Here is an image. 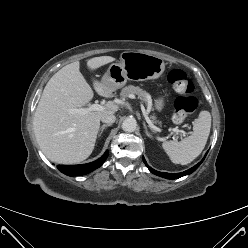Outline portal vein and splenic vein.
Masks as SVG:
<instances>
[{
	"instance_id": "portal-vein-and-splenic-vein-1",
	"label": "portal vein and splenic vein",
	"mask_w": 248,
	"mask_h": 248,
	"mask_svg": "<svg viewBox=\"0 0 248 248\" xmlns=\"http://www.w3.org/2000/svg\"><path fill=\"white\" fill-rule=\"evenodd\" d=\"M129 98L138 100V98H137L135 95H133V94L129 95ZM104 109H105V107L102 106V105H99V104H92V105H90L89 107H86V108L84 107V108L69 109V113H72V114H80V115H86V114H88L89 112H92V111H102V110H104ZM141 110H142V112H143L144 118H145L146 122L148 123L149 127H150L151 129H153L154 131H156V132H161V129L158 128L157 126H155V125L152 123V121L149 119L148 114H147V112L145 111L143 105H141ZM172 131H174V132H176V133H179L180 135H182V133H183L181 130H179V129H177V128H173Z\"/></svg>"
}]
</instances>
